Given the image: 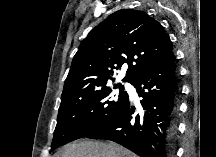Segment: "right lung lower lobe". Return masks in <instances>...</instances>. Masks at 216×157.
<instances>
[{"instance_id":"obj_1","label":"right lung lower lobe","mask_w":216,"mask_h":157,"mask_svg":"<svg viewBox=\"0 0 216 157\" xmlns=\"http://www.w3.org/2000/svg\"><path fill=\"white\" fill-rule=\"evenodd\" d=\"M131 84L142 97L140 114L133 115L127 100L111 121L86 137L114 141L140 157H174L180 87L173 52Z\"/></svg>"}]
</instances>
